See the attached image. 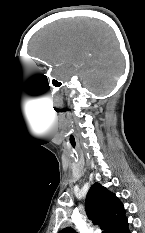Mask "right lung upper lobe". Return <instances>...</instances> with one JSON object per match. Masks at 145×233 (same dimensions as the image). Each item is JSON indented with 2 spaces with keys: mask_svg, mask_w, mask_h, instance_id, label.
I'll use <instances>...</instances> for the list:
<instances>
[{
  "mask_svg": "<svg viewBox=\"0 0 145 233\" xmlns=\"http://www.w3.org/2000/svg\"><path fill=\"white\" fill-rule=\"evenodd\" d=\"M86 213L93 224L101 225L103 233H112L125 219L123 204L115 194L102 185L91 186L85 203ZM59 233H75L72 228H65Z\"/></svg>",
  "mask_w": 145,
  "mask_h": 233,
  "instance_id": "right-lung-upper-lobe-1",
  "label": "right lung upper lobe"
}]
</instances>
